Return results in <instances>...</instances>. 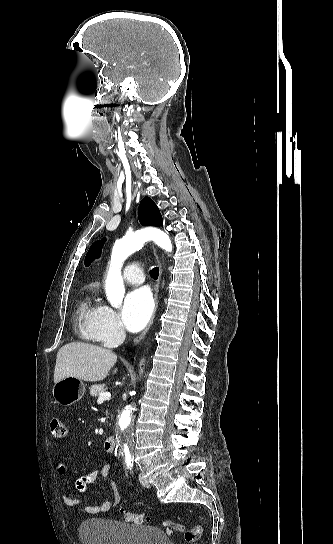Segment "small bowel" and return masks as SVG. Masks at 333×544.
Returning <instances> with one entry per match:
<instances>
[{
    "label": "small bowel",
    "instance_id": "c3829d8e",
    "mask_svg": "<svg viewBox=\"0 0 333 544\" xmlns=\"http://www.w3.org/2000/svg\"><path fill=\"white\" fill-rule=\"evenodd\" d=\"M111 469H112V464L106 463L102 467L83 475L81 478H79L76 481L77 489L81 492L86 491L88 488V485L92 483L95 479H97L98 477L107 478L109 476ZM56 471L60 475L65 474L67 471L66 464L64 462H59L56 466ZM110 489H111L110 498L97 505H86L83 499L69 497L65 494H63L61 498L63 503L71 507L73 511L77 514H89V515L101 514L110 510V508L116 505L120 499V494H119L118 486L116 482L114 481L110 482Z\"/></svg>",
    "mask_w": 333,
    "mask_h": 544
}]
</instances>
